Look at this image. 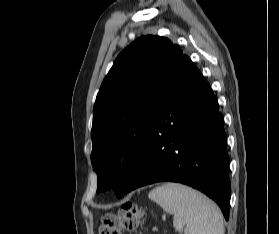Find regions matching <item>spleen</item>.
Wrapping results in <instances>:
<instances>
[{"label":"spleen","mask_w":279,"mask_h":234,"mask_svg":"<svg viewBox=\"0 0 279 234\" xmlns=\"http://www.w3.org/2000/svg\"><path fill=\"white\" fill-rule=\"evenodd\" d=\"M148 196L174 215L173 225L180 233L184 229L185 234H224L220 209L199 191L178 183H165Z\"/></svg>","instance_id":"1"}]
</instances>
